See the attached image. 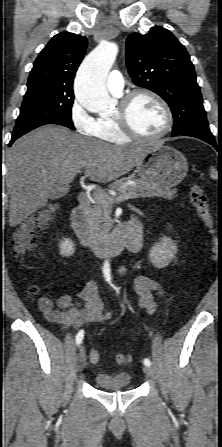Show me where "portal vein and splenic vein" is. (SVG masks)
I'll return each instance as SVG.
<instances>
[{
	"label": "portal vein and splenic vein",
	"instance_id": "18ae733b",
	"mask_svg": "<svg viewBox=\"0 0 222 447\" xmlns=\"http://www.w3.org/2000/svg\"><path fill=\"white\" fill-rule=\"evenodd\" d=\"M128 184L129 185H136V183H134V182H129ZM98 191H101V190H96L95 193H97ZM132 198H134L132 194L124 193L122 195H119L116 198H109V201L112 202V203H115V202H122V201H125V200H128V199H132Z\"/></svg>",
	"mask_w": 222,
	"mask_h": 447
}]
</instances>
